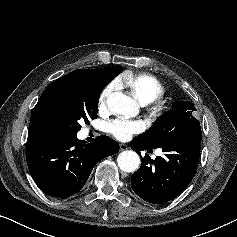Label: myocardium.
Wrapping results in <instances>:
<instances>
[{
	"label": "myocardium",
	"mask_w": 237,
	"mask_h": 237,
	"mask_svg": "<svg viewBox=\"0 0 237 237\" xmlns=\"http://www.w3.org/2000/svg\"><path fill=\"white\" fill-rule=\"evenodd\" d=\"M164 105H163V103H161V102H156L155 103V105H154V107H153V111H154V113H161L163 110H164Z\"/></svg>",
	"instance_id": "1"
}]
</instances>
